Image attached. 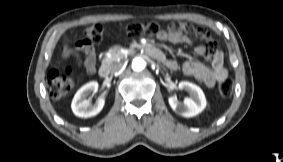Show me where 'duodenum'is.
Segmentation results:
<instances>
[{
  "label": "duodenum",
  "instance_id": "duodenum-1",
  "mask_svg": "<svg viewBox=\"0 0 283 162\" xmlns=\"http://www.w3.org/2000/svg\"><path fill=\"white\" fill-rule=\"evenodd\" d=\"M145 51L146 53L157 59V60H163L164 59V55L163 53L157 48L155 47L154 45H151V44H148L145 46ZM99 75L102 77V78H107L108 75H109V69L107 67H102L100 70H99Z\"/></svg>",
  "mask_w": 283,
  "mask_h": 162
}]
</instances>
